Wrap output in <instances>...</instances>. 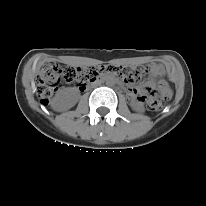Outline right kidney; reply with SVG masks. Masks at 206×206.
Wrapping results in <instances>:
<instances>
[{
  "instance_id": "ca27d5eb",
  "label": "right kidney",
  "mask_w": 206,
  "mask_h": 206,
  "mask_svg": "<svg viewBox=\"0 0 206 206\" xmlns=\"http://www.w3.org/2000/svg\"><path fill=\"white\" fill-rule=\"evenodd\" d=\"M76 102L77 97L74 95L73 91L63 89L54 97L53 108L59 111L68 110L74 106Z\"/></svg>"
}]
</instances>
